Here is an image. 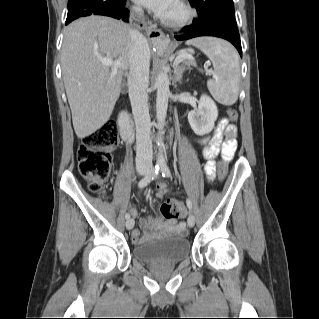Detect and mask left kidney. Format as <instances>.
Instances as JSON below:
<instances>
[{
	"label": "left kidney",
	"instance_id": "1",
	"mask_svg": "<svg viewBox=\"0 0 319 319\" xmlns=\"http://www.w3.org/2000/svg\"><path fill=\"white\" fill-rule=\"evenodd\" d=\"M218 117V109L214 101L207 95H202L198 109L188 113V121L197 135H205L212 131Z\"/></svg>",
	"mask_w": 319,
	"mask_h": 319
}]
</instances>
